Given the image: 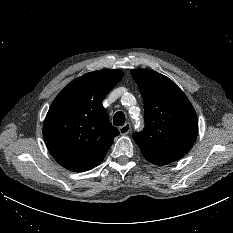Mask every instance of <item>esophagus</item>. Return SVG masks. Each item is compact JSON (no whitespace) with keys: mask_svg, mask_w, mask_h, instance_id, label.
I'll return each mask as SVG.
<instances>
[{"mask_svg":"<svg viewBox=\"0 0 233 233\" xmlns=\"http://www.w3.org/2000/svg\"><path fill=\"white\" fill-rule=\"evenodd\" d=\"M130 129H131L130 124L126 123L125 125L119 128V132L121 135H127L130 132Z\"/></svg>","mask_w":233,"mask_h":233,"instance_id":"34e87169","label":"esophagus"}]
</instances>
